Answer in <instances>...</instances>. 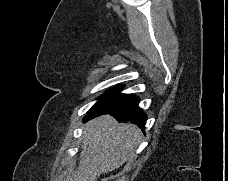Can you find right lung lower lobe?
<instances>
[{
    "instance_id": "obj_1",
    "label": "right lung lower lobe",
    "mask_w": 228,
    "mask_h": 181,
    "mask_svg": "<svg viewBox=\"0 0 228 181\" xmlns=\"http://www.w3.org/2000/svg\"><path fill=\"white\" fill-rule=\"evenodd\" d=\"M138 97L119 94L106 104L90 109L83 121L93 119L103 114H112L118 121H130L137 124L144 132L146 114L138 107Z\"/></svg>"
}]
</instances>
